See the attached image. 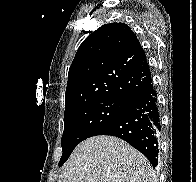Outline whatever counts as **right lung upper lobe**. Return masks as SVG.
<instances>
[{"label": "right lung upper lobe", "instance_id": "cb5924a9", "mask_svg": "<svg viewBox=\"0 0 196 182\" xmlns=\"http://www.w3.org/2000/svg\"><path fill=\"white\" fill-rule=\"evenodd\" d=\"M145 51L125 23H110L91 33L70 66L65 111L87 102L132 99L151 81Z\"/></svg>", "mask_w": 196, "mask_h": 182}]
</instances>
